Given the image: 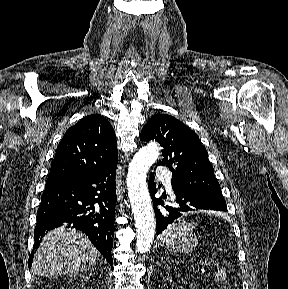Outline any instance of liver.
I'll return each instance as SVG.
<instances>
[{
	"label": "liver",
	"mask_w": 288,
	"mask_h": 289,
	"mask_svg": "<svg viewBox=\"0 0 288 289\" xmlns=\"http://www.w3.org/2000/svg\"><path fill=\"white\" fill-rule=\"evenodd\" d=\"M100 253L80 231L59 227L43 238L37 249L32 272L37 276H57L86 271Z\"/></svg>",
	"instance_id": "liver-1"
}]
</instances>
